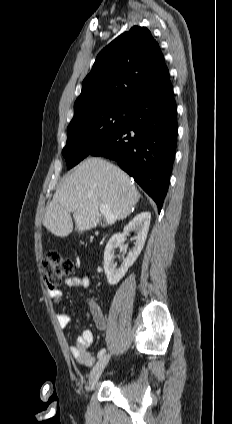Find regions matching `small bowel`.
Segmentation results:
<instances>
[{
	"mask_svg": "<svg viewBox=\"0 0 232 424\" xmlns=\"http://www.w3.org/2000/svg\"><path fill=\"white\" fill-rule=\"evenodd\" d=\"M65 284L70 289H92V283L85 274L70 277L65 281ZM48 294L57 305H61L62 292L60 289L49 288ZM89 309L95 322V325L100 330H105L107 328V320L103 315L100 307L97 304L91 303ZM57 321L61 327H66L71 322V316L66 312H59L57 314ZM92 342L93 334L89 329L82 330L76 336L74 344L70 348V353L79 364L90 366L93 363L94 358L88 350Z\"/></svg>",
	"mask_w": 232,
	"mask_h": 424,
	"instance_id": "c3829d8e",
	"label": "small bowel"
}]
</instances>
